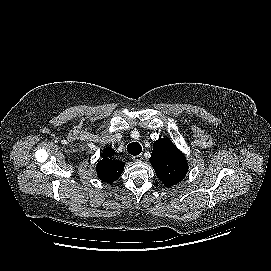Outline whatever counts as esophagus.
I'll return each instance as SVG.
<instances>
[{
	"mask_svg": "<svg viewBox=\"0 0 271 271\" xmlns=\"http://www.w3.org/2000/svg\"><path fill=\"white\" fill-rule=\"evenodd\" d=\"M133 161L139 162L143 160L142 155H137L132 157Z\"/></svg>",
	"mask_w": 271,
	"mask_h": 271,
	"instance_id": "obj_1",
	"label": "esophagus"
}]
</instances>
